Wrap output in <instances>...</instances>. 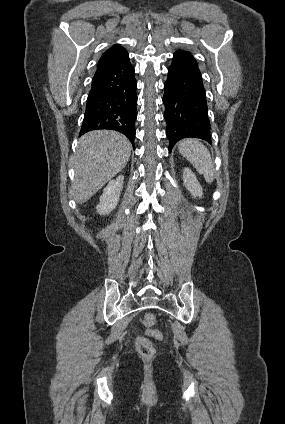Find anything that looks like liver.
<instances>
[{"label": "liver", "mask_w": 285, "mask_h": 424, "mask_svg": "<svg viewBox=\"0 0 285 424\" xmlns=\"http://www.w3.org/2000/svg\"><path fill=\"white\" fill-rule=\"evenodd\" d=\"M131 143L121 133L95 130L83 135L75 157L73 196L80 204L90 199L127 164Z\"/></svg>", "instance_id": "liver-1"}]
</instances>
